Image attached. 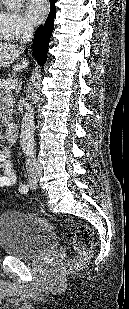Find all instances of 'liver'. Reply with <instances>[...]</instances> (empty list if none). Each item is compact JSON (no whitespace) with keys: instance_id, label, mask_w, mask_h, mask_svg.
<instances>
[{"instance_id":"liver-1","label":"liver","mask_w":129,"mask_h":309,"mask_svg":"<svg viewBox=\"0 0 129 309\" xmlns=\"http://www.w3.org/2000/svg\"><path fill=\"white\" fill-rule=\"evenodd\" d=\"M23 52L24 48L22 46L9 42H0V67L10 66ZM28 65L29 61L23 59L19 64L14 65L13 71H23Z\"/></svg>"}]
</instances>
